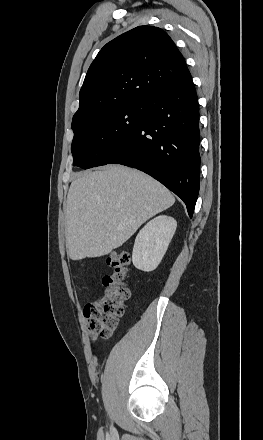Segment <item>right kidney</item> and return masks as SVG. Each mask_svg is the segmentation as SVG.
<instances>
[{
    "mask_svg": "<svg viewBox=\"0 0 263 440\" xmlns=\"http://www.w3.org/2000/svg\"><path fill=\"white\" fill-rule=\"evenodd\" d=\"M177 222L174 218L160 215L149 221L135 239L132 262L144 272L157 268L176 231Z\"/></svg>",
    "mask_w": 263,
    "mask_h": 440,
    "instance_id": "ca27d5eb",
    "label": "right kidney"
}]
</instances>
